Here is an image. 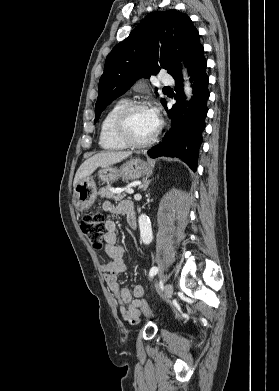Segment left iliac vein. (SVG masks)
<instances>
[{"label":"left iliac vein","mask_w":279,"mask_h":391,"mask_svg":"<svg viewBox=\"0 0 279 391\" xmlns=\"http://www.w3.org/2000/svg\"><path fill=\"white\" fill-rule=\"evenodd\" d=\"M173 295V285L171 283H167L165 286L164 293L162 295V301H169Z\"/></svg>","instance_id":"4c4485c4"}]
</instances>
